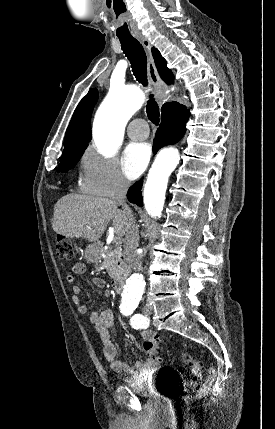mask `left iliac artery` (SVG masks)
<instances>
[{
    "mask_svg": "<svg viewBox=\"0 0 275 429\" xmlns=\"http://www.w3.org/2000/svg\"><path fill=\"white\" fill-rule=\"evenodd\" d=\"M135 307H123L121 312L125 316H129L133 313ZM130 324L135 329H143L149 325V320L142 314H135L130 319Z\"/></svg>",
    "mask_w": 275,
    "mask_h": 429,
    "instance_id": "1",
    "label": "left iliac artery"
}]
</instances>
